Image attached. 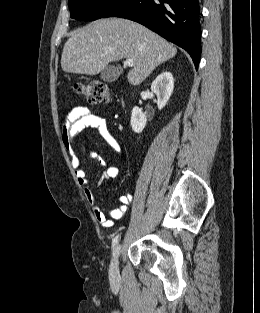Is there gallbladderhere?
I'll list each match as a JSON object with an SVG mask.
<instances>
[{"instance_id": "1", "label": "gallbladder", "mask_w": 260, "mask_h": 313, "mask_svg": "<svg viewBox=\"0 0 260 313\" xmlns=\"http://www.w3.org/2000/svg\"><path fill=\"white\" fill-rule=\"evenodd\" d=\"M119 70L114 66L106 67L100 74V77L103 81L111 83L118 79L119 77Z\"/></svg>"}]
</instances>
